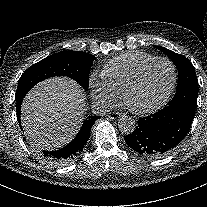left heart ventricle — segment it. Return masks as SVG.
<instances>
[{"label": "left heart ventricle", "instance_id": "obj_1", "mask_svg": "<svg viewBox=\"0 0 207 207\" xmlns=\"http://www.w3.org/2000/svg\"><path fill=\"white\" fill-rule=\"evenodd\" d=\"M172 82V68L160 62L153 65L142 81L130 93L129 104L137 110L145 111L148 107L165 101Z\"/></svg>", "mask_w": 207, "mask_h": 207}]
</instances>
